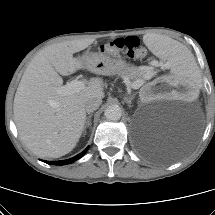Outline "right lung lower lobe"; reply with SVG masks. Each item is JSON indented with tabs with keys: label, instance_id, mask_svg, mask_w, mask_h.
<instances>
[{
	"label": "right lung lower lobe",
	"instance_id": "right-lung-lower-lobe-1",
	"mask_svg": "<svg viewBox=\"0 0 215 215\" xmlns=\"http://www.w3.org/2000/svg\"><path fill=\"white\" fill-rule=\"evenodd\" d=\"M89 147H87L83 152H81L80 154L76 155L73 158L67 159V160H61V161H44L48 164L51 165H66V164H70L73 163L74 161L80 159L88 150Z\"/></svg>",
	"mask_w": 215,
	"mask_h": 215
}]
</instances>
